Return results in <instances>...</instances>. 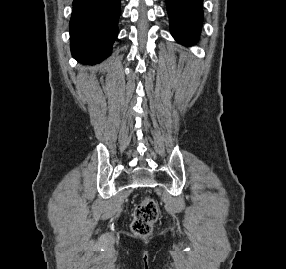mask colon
I'll return each mask as SVG.
<instances>
[{
  "label": "colon",
  "mask_w": 286,
  "mask_h": 269,
  "mask_svg": "<svg viewBox=\"0 0 286 269\" xmlns=\"http://www.w3.org/2000/svg\"><path fill=\"white\" fill-rule=\"evenodd\" d=\"M159 216L158 205L151 198L143 199L136 207L133 213L131 223L132 231L139 236H147L151 233L153 224Z\"/></svg>",
  "instance_id": "1"
}]
</instances>
